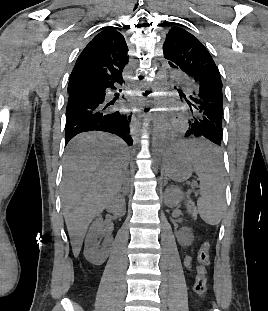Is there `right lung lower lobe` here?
<instances>
[{
	"label": "right lung lower lobe",
	"instance_id": "98d812e1",
	"mask_svg": "<svg viewBox=\"0 0 268 311\" xmlns=\"http://www.w3.org/2000/svg\"><path fill=\"white\" fill-rule=\"evenodd\" d=\"M122 77L107 82L91 84L90 88L71 87L66 108L65 145L77 134L87 131H104L121 137L129 146L132 115L121 104L109 101L107 92L122 85Z\"/></svg>",
	"mask_w": 268,
	"mask_h": 311
}]
</instances>
